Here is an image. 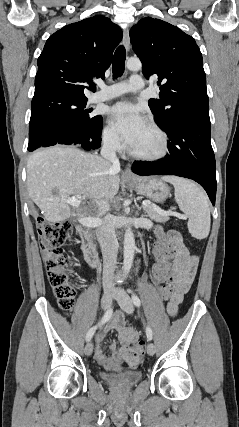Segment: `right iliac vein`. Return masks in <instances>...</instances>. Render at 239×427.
Listing matches in <instances>:
<instances>
[{
  "instance_id": "right-iliac-vein-1",
  "label": "right iliac vein",
  "mask_w": 239,
  "mask_h": 427,
  "mask_svg": "<svg viewBox=\"0 0 239 427\" xmlns=\"http://www.w3.org/2000/svg\"><path fill=\"white\" fill-rule=\"evenodd\" d=\"M113 295H114V291H106L103 294V297L101 299V307H102V309L107 310L111 306ZM84 352H85V354L87 356H89V355L92 354V352H93V344H92V342H88L86 344Z\"/></svg>"
}]
</instances>
